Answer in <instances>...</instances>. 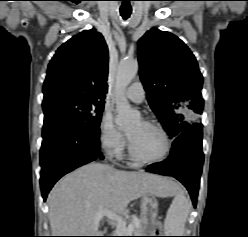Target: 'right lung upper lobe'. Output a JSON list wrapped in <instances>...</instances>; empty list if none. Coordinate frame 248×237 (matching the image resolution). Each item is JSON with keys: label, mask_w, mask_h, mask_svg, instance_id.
Instances as JSON below:
<instances>
[{"label": "right lung upper lobe", "mask_w": 248, "mask_h": 237, "mask_svg": "<svg viewBox=\"0 0 248 237\" xmlns=\"http://www.w3.org/2000/svg\"><path fill=\"white\" fill-rule=\"evenodd\" d=\"M107 76V44L95 29L85 30L60 46L51 59L43 102L58 97L104 101Z\"/></svg>", "instance_id": "obj_1"}]
</instances>
